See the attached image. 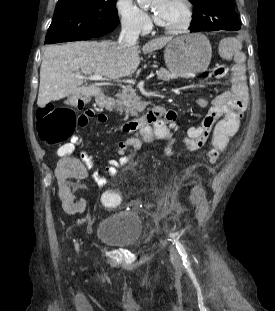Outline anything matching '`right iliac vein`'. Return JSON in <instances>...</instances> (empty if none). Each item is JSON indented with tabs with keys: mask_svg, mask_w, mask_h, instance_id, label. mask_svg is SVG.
<instances>
[{
	"mask_svg": "<svg viewBox=\"0 0 275 311\" xmlns=\"http://www.w3.org/2000/svg\"><path fill=\"white\" fill-rule=\"evenodd\" d=\"M78 247H79V246H78V244L76 243V244H75V248L78 249Z\"/></svg>",
	"mask_w": 275,
	"mask_h": 311,
	"instance_id": "63e3f726",
	"label": "right iliac vein"
}]
</instances>
